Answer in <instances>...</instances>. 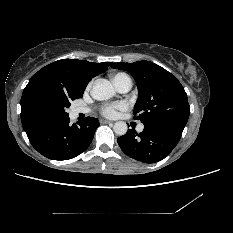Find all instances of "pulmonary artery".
<instances>
[{"instance_id":"1","label":"pulmonary artery","mask_w":233,"mask_h":233,"mask_svg":"<svg viewBox=\"0 0 233 233\" xmlns=\"http://www.w3.org/2000/svg\"><path fill=\"white\" fill-rule=\"evenodd\" d=\"M131 86H132V82H131V79L129 77H124L121 79V81L116 85V87L118 88V90L122 93H126L128 92L130 89H131ZM73 113L74 114H80V113H87L88 110L84 109V108H74L73 110ZM144 128V125L143 124H140L138 126V130L139 131H142Z\"/></svg>"}]
</instances>
